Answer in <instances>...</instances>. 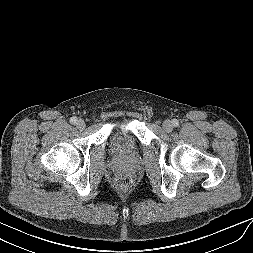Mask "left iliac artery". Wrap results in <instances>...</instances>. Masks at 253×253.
I'll return each mask as SVG.
<instances>
[{"instance_id":"obj_1","label":"left iliac artery","mask_w":253,"mask_h":253,"mask_svg":"<svg viewBox=\"0 0 253 253\" xmlns=\"http://www.w3.org/2000/svg\"><path fill=\"white\" fill-rule=\"evenodd\" d=\"M172 124L174 127H177V126H179V121L177 119H173Z\"/></svg>"}]
</instances>
